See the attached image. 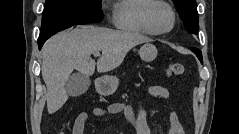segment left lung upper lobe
I'll use <instances>...</instances> for the list:
<instances>
[{
    "label": "left lung upper lobe",
    "mask_w": 239,
    "mask_h": 134,
    "mask_svg": "<svg viewBox=\"0 0 239 134\" xmlns=\"http://www.w3.org/2000/svg\"><path fill=\"white\" fill-rule=\"evenodd\" d=\"M173 2L188 32L197 34L199 19L197 16L196 0H173ZM199 60L203 62L202 57Z\"/></svg>",
    "instance_id": "5c2ea615"
}]
</instances>
